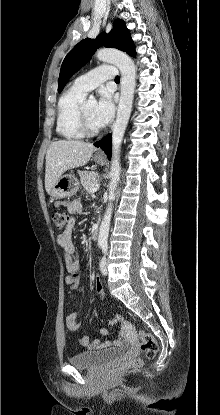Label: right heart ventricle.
<instances>
[{
    "instance_id": "obj_1",
    "label": "right heart ventricle",
    "mask_w": 220,
    "mask_h": 415,
    "mask_svg": "<svg viewBox=\"0 0 220 415\" xmlns=\"http://www.w3.org/2000/svg\"><path fill=\"white\" fill-rule=\"evenodd\" d=\"M85 95V92L72 86L59 98L56 118V132L59 136L69 140H78L84 137L77 125V113Z\"/></svg>"
}]
</instances>
